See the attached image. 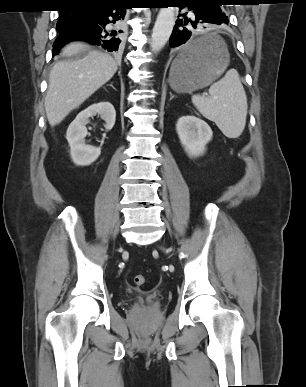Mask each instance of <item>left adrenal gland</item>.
Here are the masks:
<instances>
[{
    "mask_svg": "<svg viewBox=\"0 0 306 387\" xmlns=\"http://www.w3.org/2000/svg\"><path fill=\"white\" fill-rule=\"evenodd\" d=\"M172 99H173V96L171 95L170 100H172Z\"/></svg>",
    "mask_w": 306,
    "mask_h": 387,
    "instance_id": "left-adrenal-gland-1",
    "label": "left adrenal gland"
}]
</instances>
